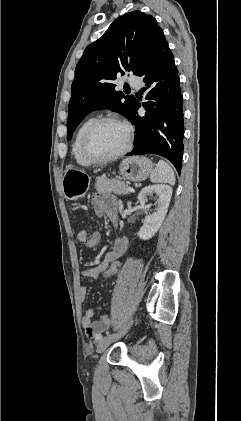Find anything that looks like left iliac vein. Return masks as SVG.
<instances>
[{
    "label": "left iliac vein",
    "mask_w": 241,
    "mask_h": 421,
    "mask_svg": "<svg viewBox=\"0 0 241 421\" xmlns=\"http://www.w3.org/2000/svg\"><path fill=\"white\" fill-rule=\"evenodd\" d=\"M133 320H130L129 323L116 335L103 337L98 341L96 351L98 353H102L106 350V348L115 340L119 339L121 336L125 335L128 330L130 329Z\"/></svg>",
    "instance_id": "obj_1"
}]
</instances>
